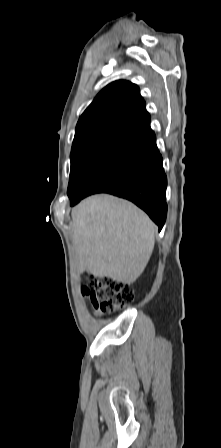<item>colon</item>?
<instances>
[{
  "label": "colon",
  "mask_w": 221,
  "mask_h": 448,
  "mask_svg": "<svg viewBox=\"0 0 221 448\" xmlns=\"http://www.w3.org/2000/svg\"><path fill=\"white\" fill-rule=\"evenodd\" d=\"M82 293L101 313L129 305L134 299V291L130 285L109 277H91L83 286Z\"/></svg>",
  "instance_id": "5ec220e1"
}]
</instances>
